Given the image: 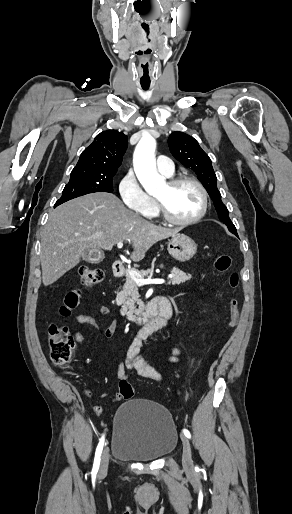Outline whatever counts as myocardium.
<instances>
[{
    "label": "myocardium",
    "mask_w": 292,
    "mask_h": 514,
    "mask_svg": "<svg viewBox=\"0 0 292 514\" xmlns=\"http://www.w3.org/2000/svg\"><path fill=\"white\" fill-rule=\"evenodd\" d=\"M184 184L193 186L198 191L199 196H200V207H199L198 212L193 217H191L187 220H179V219L173 218L167 212L163 203L154 198L156 209L159 212V214L161 215V217L163 218V220L170 224L177 225V226H188V225L196 223L204 216L206 209H207L206 191H205L204 187L197 180L189 178V177H178V178L170 180L167 183V185L170 188H175V187H178V186H181Z\"/></svg>",
    "instance_id": "f54148a6"
}]
</instances>
